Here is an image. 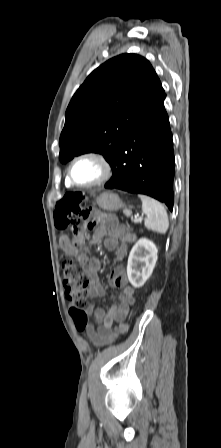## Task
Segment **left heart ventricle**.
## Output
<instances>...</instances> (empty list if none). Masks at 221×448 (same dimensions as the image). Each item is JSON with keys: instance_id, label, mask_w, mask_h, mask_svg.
<instances>
[{"instance_id": "1", "label": "left heart ventricle", "mask_w": 221, "mask_h": 448, "mask_svg": "<svg viewBox=\"0 0 221 448\" xmlns=\"http://www.w3.org/2000/svg\"><path fill=\"white\" fill-rule=\"evenodd\" d=\"M102 175V167L95 160L86 158L75 162L72 168L73 179L81 184L92 183Z\"/></svg>"}]
</instances>
